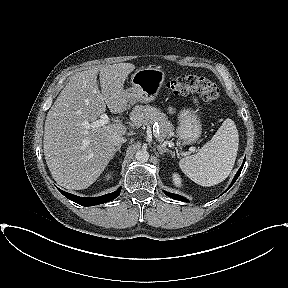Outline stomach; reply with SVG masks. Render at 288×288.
I'll return each instance as SVG.
<instances>
[{
  "label": "stomach",
  "instance_id": "obj_1",
  "mask_svg": "<svg viewBox=\"0 0 288 288\" xmlns=\"http://www.w3.org/2000/svg\"><path fill=\"white\" fill-rule=\"evenodd\" d=\"M165 72L158 67H141L131 77V87L125 90L128 103H149L155 100L163 82ZM202 133L199 117L190 109H183L179 114L177 136L185 144L195 143Z\"/></svg>",
  "mask_w": 288,
  "mask_h": 288
}]
</instances>
